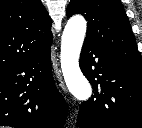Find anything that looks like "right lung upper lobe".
I'll return each instance as SVG.
<instances>
[{
  "instance_id": "right-lung-upper-lobe-1",
  "label": "right lung upper lobe",
  "mask_w": 142,
  "mask_h": 128,
  "mask_svg": "<svg viewBox=\"0 0 142 128\" xmlns=\"http://www.w3.org/2000/svg\"><path fill=\"white\" fill-rule=\"evenodd\" d=\"M51 18L41 0H0V74L51 45Z\"/></svg>"
}]
</instances>
